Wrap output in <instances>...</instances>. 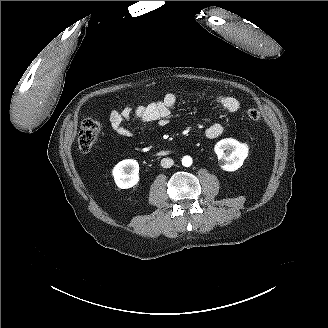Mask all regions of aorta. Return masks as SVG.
Here are the masks:
<instances>
[{"label":"aorta","instance_id":"aorta-1","mask_svg":"<svg viewBox=\"0 0 328 328\" xmlns=\"http://www.w3.org/2000/svg\"><path fill=\"white\" fill-rule=\"evenodd\" d=\"M182 165L185 167H190L192 165V158L190 156H184L182 158Z\"/></svg>","mask_w":328,"mask_h":328}]
</instances>
